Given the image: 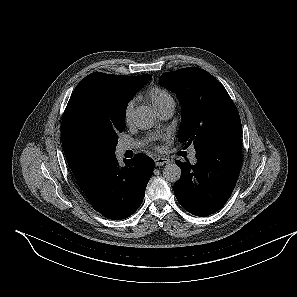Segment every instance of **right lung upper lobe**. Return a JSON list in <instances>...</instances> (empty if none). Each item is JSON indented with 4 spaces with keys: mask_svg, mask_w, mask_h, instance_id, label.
<instances>
[{
    "mask_svg": "<svg viewBox=\"0 0 297 297\" xmlns=\"http://www.w3.org/2000/svg\"><path fill=\"white\" fill-rule=\"evenodd\" d=\"M151 78L150 74L126 77L94 72L74 89L63 114L61 138L67 162L82 190L107 162L88 151L82 135L86 122L125 112L131 98Z\"/></svg>",
    "mask_w": 297,
    "mask_h": 297,
    "instance_id": "obj_1",
    "label": "right lung upper lobe"
}]
</instances>
